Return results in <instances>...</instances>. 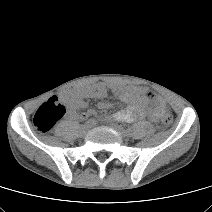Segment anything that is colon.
Segmentation results:
<instances>
[{"instance_id": "obj_1", "label": "colon", "mask_w": 212, "mask_h": 212, "mask_svg": "<svg viewBox=\"0 0 212 212\" xmlns=\"http://www.w3.org/2000/svg\"><path fill=\"white\" fill-rule=\"evenodd\" d=\"M149 96L156 99L153 93H149ZM66 109L61 104L57 97L52 96L46 102H44L35 112L33 117V123L39 132H49L57 122L64 116ZM162 122L165 125H171L173 122V116L171 114H165L162 117Z\"/></svg>"}]
</instances>
